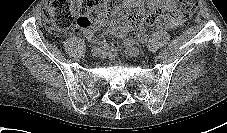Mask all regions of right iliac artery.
<instances>
[{
    "label": "right iliac artery",
    "instance_id": "82829eb1",
    "mask_svg": "<svg viewBox=\"0 0 227 133\" xmlns=\"http://www.w3.org/2000/svg\"><path fill=\"white\" fill-rule=\"evenodd\" d=\"M99 48H101V49H107V44L106 43H99Z\"/></svg>",
    "mask_w": 227,
    "mask_h": 133
}]
</instances>
